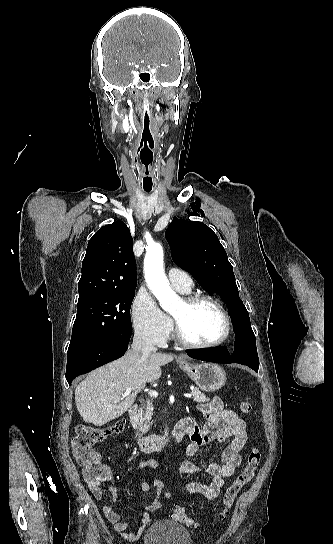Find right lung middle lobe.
<instances>
[{
	"label": "right lung middle lobe",
	"instance_id": "dd1d6c3e",
	"mask_svg": "<svg viewBox=\"0 0 333 544\" xmlns=\"http://www.w3.org/2000/svg\"><path fill=\"white\" fill-rule=\"evenodd\" d=\"M134 296V290L111 291L78 302L67 357L107 336L131 329L130 308Z\"/></svg>",
	"mask_w": 333,
	"mask_h": 544
}]
</instances>
